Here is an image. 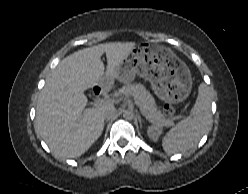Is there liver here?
I'll return each instance as SVG.
<instances>
[{
  "instance_id": "liver-1",
  "label": "liver",
  "mask_w": 248,
  "mask_h": 194,
  "mask_svg": "<svg viewBox=\"0 0 248 194\" xmlns=\"http://www.w3.org/2000/svg\"><path fill=\"white\" fill-rule=\"evenodd\" d=\"M136 46L134 42H110L78 50L65 57L47 79L36 107V126L52 152L75 158L100 137L103 112L110 105L85 109L84 91L107 78L118 77L120 65ZM106 54L105 69L101 56Z\"/></svg>"
}]
</instances>
